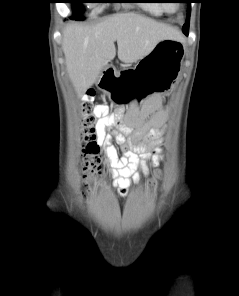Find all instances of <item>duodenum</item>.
<instances>
[{
	"instance_id": "duodenum-1",
	"label": "duodenum",
	"mask_w": 239,
	"mask_h": 296,
	"mask_svg": "<svg viewBox=\"0 0 239 296\" xmlns=\"http://www.w3.org/2000/svg\"><path fill=\"white\" fill-rule=\"evenodd\" d=\"M115 80V70L113 67H108L107 71L101 78V82H104L106 84L112 83Z\"/></svg>"
}]
</instances>
